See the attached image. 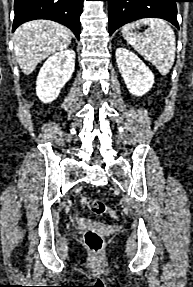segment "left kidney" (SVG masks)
I'll return each instance as SVG.
<instances>
[{
  "label": "left kidney",
  "mask_w": 193,
  "mask_h": 287,
  "mask_svg": "<svg viewBox=\"0 0 193 287\" xmlns=\"http://www.w3.org/2000/svg\"><path fill=\"white\" fill-rule=\"evenodd\" d=\"M116 62L125 84L135 96L147 93L154 84V75L145 63L126 48L116 49Z\"/></svg>",
  "instance_id": "1"
}]
</instances>
